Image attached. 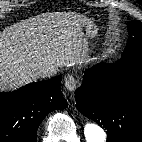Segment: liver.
<instances>
[{
    "mask_svg": "<svg viewBox=\"0 0 142 142\" xmlns=\"http://www.w3.org/2000/svg\"><path fill=\"white\" fill-rule=\"evenodd\" d=\"M89 19L73 12L44 14L15 23L0 33V90L36 81L44 65L74 66L86 39L82 25Z\"/></svg>",
    "mask_w": 142,
    "mask_h": 142,
    "instance_id": "liver-1",
    "label": "liver"
}]
</instances>
